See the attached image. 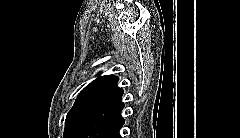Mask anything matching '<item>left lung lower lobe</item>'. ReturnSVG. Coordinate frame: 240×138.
<instances>
[{"mask_svg": "<svg viewBox=\"0 0 240 138\" xmlns=\"http://www.w3.org/2000/svg\"><path fill=\"white\" fill-rule=\"evenodd\" d=\"M122 95L123 89L119 88L87 124L78 138H121L119 131L125 123V119L121 116L124 108Z\"/></svg>", "mask_w": 240, "mask_h": 138, "instance_id": "1", "label": "left lung lower lobe"}]
</instances>
